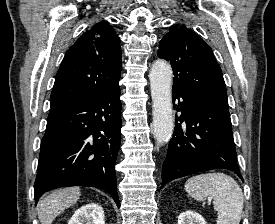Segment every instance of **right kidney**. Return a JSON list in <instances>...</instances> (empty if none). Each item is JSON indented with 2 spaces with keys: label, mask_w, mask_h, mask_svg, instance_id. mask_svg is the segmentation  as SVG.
Returning a JSON list of instances; mask_svg holds the SVG:
<instances>
[{
  "label": "right kidney",
  "mask_w": 275,
  "mask_h": 224,
  "mask_svg": "<svg viewBox=\"0 0 275 224\" xmlns=\"http://www.w3.org/2000/svg\"><path fill=\"white\" fill-rule=\"evenodd\" d=\"M68 224H105L103 208L89 203L75 211Z\"/></svg>",
  "instance_id": "ca27d5eb"
}]
</instances>
